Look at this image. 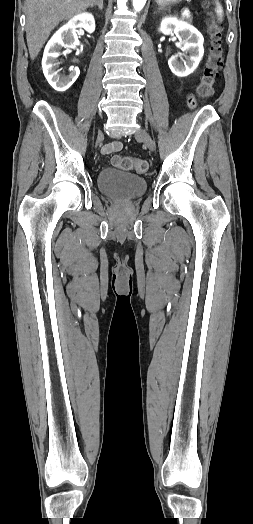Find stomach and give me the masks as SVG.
Wrapping results in <instances>:
<instances>
[{
  "label": "stomach",
  "instance_id": "stomach-1",
  "mask_svg": "<svg viewBox=\"0 0 253 524\" xmlns=\"http://www.w3.org/2000/svg\"><path fill=\"white\" fill-rule=\"evenodd\" d=\"M156 2L161 6H165V5L179 3L181 2V0H156Z\"/></svg>",
  "mask_w": 253,
  "mask_h": 524
}]
</instances>
